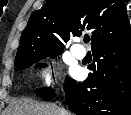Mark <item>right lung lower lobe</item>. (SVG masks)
<instances>
[{
  "instance_id": "1",
  "label": "right lung lower lobe",
  "mask_w": 131,
  "mask_h": 115,
  "mask_svg": "<svg viewBox=\"0 0 131 115\" xmlns=\"http://www.w3.org/2000/svg\"><path fill=\"white\" fill-rule=\"evenodd\" d=\"M93 72L64 84L66 102L77 115H131V37L93 51Z\"/></svg>"
}]
</instances>
